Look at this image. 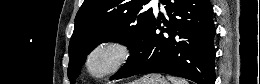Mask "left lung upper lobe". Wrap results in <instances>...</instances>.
<instances>
[{"label": "left lung upper lobe", "mask_w": 260, "mask_h": 84, "mask_svg": "<svg viewBox=\"0 0 260 84\" xmlns=\"http://www.w3.org/2000/svg\"><path fill=\"white\" fill-rule=\"evenodd\" d=\"M148 0H84L76 18L69 45L68 77L75 82L85 61V55L106 41L120 42L130 47L126 64L115 78L135 61L152 21V8L142 11Z\"/></svg>", "instance_id": "left-lung-upper-lobe-1"}]
</instances>
